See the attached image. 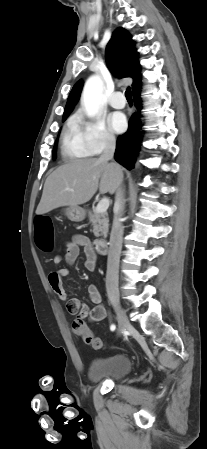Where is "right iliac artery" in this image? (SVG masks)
Segmentation results:
<instances>
[{"instance_id": "82829eb1", "label": "right iliac artery", "mask_w": 207, "mask_h": 449, "mask_svg": "<svg viewBox=\"0 0 207 449\" xmlns=\"http://www.w3.org/2000/svg\"><path fill=\"white\" fill-rule=\"evenodd\" d=\"M110 329H111V331H114V330L116 329V326H115L114 324H112V325L110 326Z\"/></svg>"}]
</instances>
